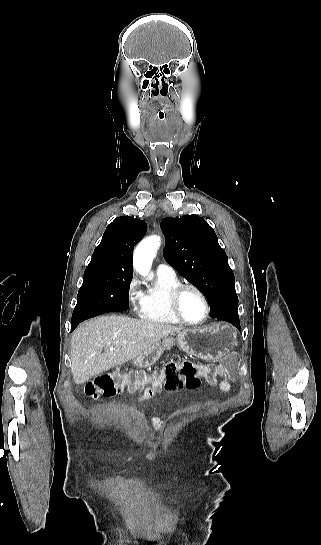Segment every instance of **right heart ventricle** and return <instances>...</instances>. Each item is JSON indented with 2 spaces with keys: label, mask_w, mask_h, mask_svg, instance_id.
Instances as JSON below:
<instances>
[{
  "label": "right heart ventricle",
  "mask_w": 321,
  "mask_h": 545,
  "mask_svg": "<svg viewBox=\"0 0 321 545\" xmlns=\"http://www.w3.org/2000/svg\"><path fill=\"white\" fill-rule=\"evenodd\" d=\"M181 284L177 276L171 277L157 273L153 287L144 295L139 316L145 322L157 325L178 324L167 308V294Z\"/></svg>",
  "instance_id": "right-heart-ventricle-1"
}]
</instances>
